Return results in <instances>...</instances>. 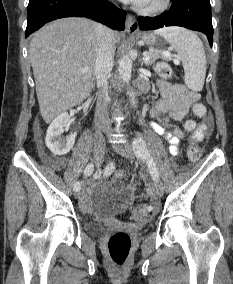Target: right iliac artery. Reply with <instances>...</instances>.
Here are the masks:
<instances>
[{"label":"right iliac artery","instance_id":"82829eb1","mask_svg":"<svg viewBox=\"0 0 233 284\" xmlns=\"http://www.w3.org/2000/svg\"><path fill=\"white\" fill-rule=\"evenodd\" d=\"M93 170H94L93 163L88 164L87 167L84 170V177L89 176V172H93ZM80 188H81V182L78 181L74 184L73 189H74V191H76L77 189H80Z\"/></svg>","mask_w":233,"mask_h":284}]
</instances>
